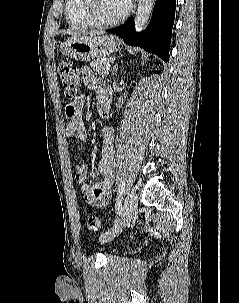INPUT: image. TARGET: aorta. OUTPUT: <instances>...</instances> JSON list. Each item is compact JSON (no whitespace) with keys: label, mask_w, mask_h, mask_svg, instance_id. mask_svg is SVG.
<instances>
[{"label":"aorta","mask_w":239,"mask_h":303,"mask_svg":"<svg viewBox=\"0 0 239 303\" xmlns=\"http://www.w3.org/2000/svg\"><path fill=\"white\" fill-rule=\"evenodd\" d=\"M155 0H138V7L135 15V29L140 32L146 26L151 12L153 10Z\"/></svg>","instance_id":"1"}]
</instances>
